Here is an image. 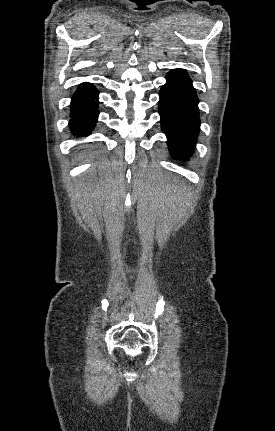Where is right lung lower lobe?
Masks as SVG:
<instances>
[{
  "label": "right lung lower lobe",
  "mask_w": 275,
  "mask_h": 431,
  "mask_svg": "<svg viewBox=\"0 0 275 431\" xmlns=\"http://www.w3.org/2000/svg\"><path fill=\"white\" fill-rule=\"evenodd\" d=\"M98 90L90 83H82L71 101L69 128L75 135L88 136L96 125L98 110Z\"/></svg>",
  "instance_id": "right-lung-lower-lobe-1"
}]
</instances>
